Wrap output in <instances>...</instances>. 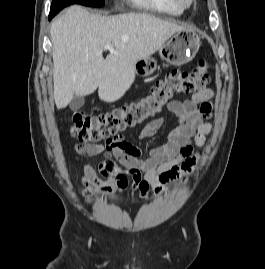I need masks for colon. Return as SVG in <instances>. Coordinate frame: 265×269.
Returning a JSON list of instances; mask_svg holds the SVG:
<instances>
[{
  "label": "colon",
  "mask_w": 265,
  "mask_h": 269,
  "mask_svg": "<svg viewBox=\"0 0 265 269\" xmlns=\"http://www.w3.org/2000/svg\"><path fill=\"white\" fill-rule=\"evenodd\" d=\"M210 65L201 59L190 71H171L156 82L139 102L108 113L88 116L74 113L71 118L72 135L80 142L107 141L121 132L135 128L159 114L177 95H190L206 88Z\"/></svg>",
  "instance_id": "5ec220e1"
}]
</instances>
